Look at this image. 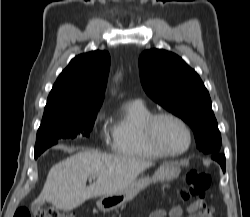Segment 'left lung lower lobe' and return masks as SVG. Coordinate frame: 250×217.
Returning <instances> with one entry per match:
<instances>
[{
  "instance_id": "0a47b994",
  "label": "left lung lower lobe",
  "mask_w": 250,
  "mask_h": 217,
  "mask_svg": "<svg viewBox=\"0 0 250 217\" xmlns=\"http://www.w3.org/2000/svg\"><path fill=\"white\" fill-rule=\"evenodd\" d=\"M211 157L221 165L223 172H225V163H226L225 156L221 153H216V154H211Z\"/></svg>"
}]
</instances>
